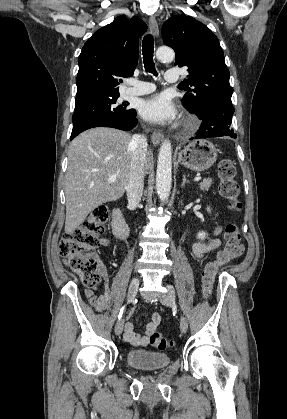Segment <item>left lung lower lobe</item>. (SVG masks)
I'll use <instances>...</instances> for the list:
<instances>
[{
	"instance_id": "1",
	"label": "left lung lower lobe",
	"mask_w": 287,
	"mask_h": 419,
	"mask_svg": "<svg viewBox=\"0 0 287 419\" xmlns=\"http://www.w3.org/2000/svg\"><path fill=\"white\" fill-rule=\"evenodd\" d=\"M234 108L231 100H213L204 105L201 112L194 113L202 121L196 139L230 136L236 138L231 129Z\"/></svg>"
}]
</instances>
